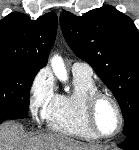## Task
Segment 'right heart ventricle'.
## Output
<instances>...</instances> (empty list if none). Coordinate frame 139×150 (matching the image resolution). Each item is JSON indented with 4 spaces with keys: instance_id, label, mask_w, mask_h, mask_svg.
Here are the masks:
<instances>
[{
    "instance_id": "1",
    "label": "right heart ventricle",
    "mask_w": 139,
    "mask_h": 150,
    "mask_svg": "<svg viewBox=\"0 0 139 150\" xmlns=\"http://www.w3.org/2000/svg\"><path fill=\"white\" fill-rule=\"evenodd\" d=\"M73 83L71 91L55 94L43 117L47 126L55 132L95 140L98 137L85 118V103L89 95L98 91V87L92 78L82 76H74Z\"/></svg>"
}]
</instances>
